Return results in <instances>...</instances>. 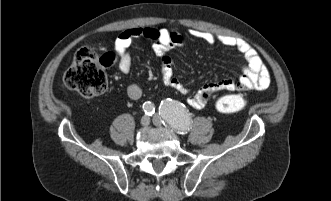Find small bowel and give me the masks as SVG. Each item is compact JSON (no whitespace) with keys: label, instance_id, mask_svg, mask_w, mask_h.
Here are the masks:
<instances>
[{"label":"small bowel","instance_id":"obj_1","mask_svg":"<svg viewBox=\"0 0 331 201\" xmlns=\"http://www.w3.org/2000/svg\"><path fill=\"white\" fill-rule=\"evenodd\" d=\"M190 35L207 44H221L236 49L244 58L245 65L238 80L231 78L207 83L196 93L188 97V104L193 108L203 107L211 96L219 91L235 90H265L270 85V74L261 58L246 41L228 36L218 35L206 31L190 30ZM142 38L153 42L154 50L161 59L162 81L181 94L188 95L190 90L174 75L172 62L165 53L173 48L184 45V37L175 31L165 28L134 27L123 30L115 39L114 50L118 58V66L122 73L127 74L131 69L130 47L135 39ZM143 94L142 88L131 83L127 87V95L132 100H138Z\"/></svg>","mask_w":331,"mask_h":201}]
</instances>
